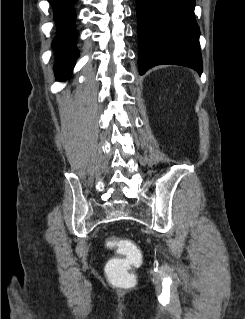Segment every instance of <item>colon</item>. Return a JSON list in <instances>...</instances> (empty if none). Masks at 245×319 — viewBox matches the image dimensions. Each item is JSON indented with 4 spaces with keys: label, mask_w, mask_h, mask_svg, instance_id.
<instances>
[{
    "label": "colon",
    "mask_w": 245,
    "mask_h": 319,
    "mask_svg": "<svg viewBox=\"0 0 245 319\" xmlns=\"http://www.w3.org/2000/svg\"><path fill=\"white\" fill-rule=\"evenodd\" d=\"M105 245L107 248L115 250L124 258V261L108 264L109 275L118 281L125 280V275L129 265L139 262V256L134 244L125 238L111 237L106 240Z\"/></svg>",
    "instance_id": "obj_1"
}]
</instances>
